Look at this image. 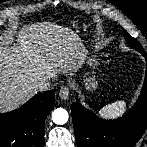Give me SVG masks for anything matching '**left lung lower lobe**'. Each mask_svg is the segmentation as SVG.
Here are the masks:
<instances>
[{"instance_id":"0a47b994","label":"left lung lower lobe","mask_w":147,"mask_h":147,"mask_svg":"<svg viewBox=\"0 0 147 147\" xmlns=\"http://www.w3.org/2000/svg\"><path fill=\"white\" fill-rule=\"evenodd\" d=\"M146 76L135 105L121 118L105 120L85 108L77 99L71 106L75 138L78 147H131L143 135L147 126V54Z\"/></svg>"}]
</instances>
